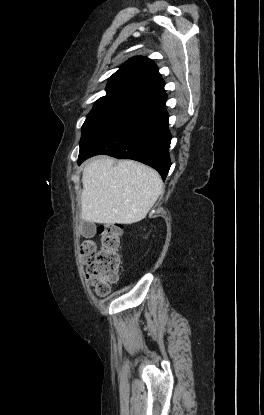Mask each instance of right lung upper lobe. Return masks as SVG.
<instances>
[{
  "label": "right lung upper lobe",
  "mask_w": 264,
  "mask_h": 415,
  "mask_svg": "<svg viewBox=\"0 0 264 415\" xmlns=\"http://www.w3.org/2000/svg\"><path fill=\"white\" fill-rule=\"evenodd\" d=\"M106 95H124L147 100L165 93L155 63L147 57H133L126 61L109 79Z\"/></svg>",
  "instance_id": "1"
}]
</instances>
